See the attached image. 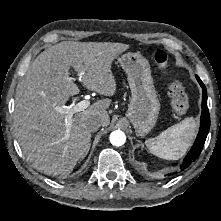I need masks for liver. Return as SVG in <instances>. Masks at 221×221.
Here are the masks:
<instances>
[{
	"mask_svg": "<svg viewBox=\"0 0 221 221\" xmlns=\"http://www.w3.org/2000/svg\"><path fill=\"white\" fill-rule=\"evenodd\" d=\"M129 45L111 42L65 41L40 53L17 85L14 129L23 153L34 168L49 174H69L89 151L91 132L87 122L99 117L108 126L110 99L93 103L71 118L57 111L70 96L79 93L69 68L80 82L104 96L116 91L111 65Z\"/></svg>",
	"mask_w": 221,
	"mask_h": 221,
	"instance_id": "liver-1",
	"label": "liver"
}]
</instances>
